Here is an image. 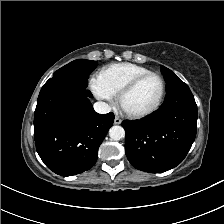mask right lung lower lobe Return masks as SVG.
Wrapping results in <instances>:
<instances>
[{
    "label": "right lung lower lobe",
    "mask_w": 224,
    "mask_h": 224,
    "mask_svg": "<svg viewBox=\"0 0 224 224\" xmlns=\"http://www.w3.org/2000/svg\"><path fill=\"white\" fill-rule=\"evenodd\" d=\"M86 87L49 79L42 87L34 114L36 150L49 169L72 176L90 169L113 124L114 114H98Z\"/></svg>",
    "instance_id": "1"
}]
</instances>
